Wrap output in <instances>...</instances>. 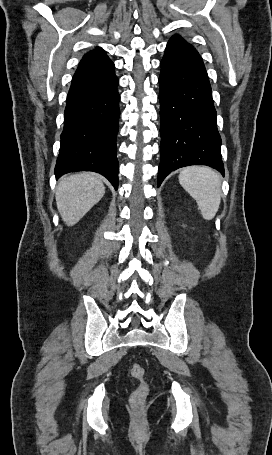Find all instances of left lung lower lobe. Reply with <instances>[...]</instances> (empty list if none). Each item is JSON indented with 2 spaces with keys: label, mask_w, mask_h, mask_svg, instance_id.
Here are the masks:
<instances>
[{
  "label": "left lung lower lobe",
  "mask_w": 272,
  "mask_h": 455,
  "mask_svg": "<svg viewBox=\"0 0 272 455\" xmlns=\"http://www.w3.org/2000/svg\"><path fill=\"white\" fill-rule=\"evenodd\" d=\"M160 66L158 187L172 171L189 165H207L224 175L216 110L202 59H162Z\"/></svg>",
  "instance_id": "left-lung-lower-lobe-1"
}]
</instances>
